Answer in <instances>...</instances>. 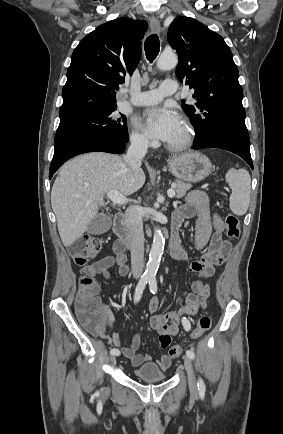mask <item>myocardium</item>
Segmentation results:
<instances>
[{
  "instance_id": "f54148a6",
  "label": "myocardium",
  "mask_w": 283,
  "mask_h": 434,
  "mask_svg": "<svg viewBox=\"0 0 283 434\" xmlns=\"http://www.w3.org/2000/svg\"><path fill=\"white\" fill-rule=\"evenodd\" d=\"M181 124L183 127L182 138L175 143H168L167 148L171 151H183L191 146L194 140V130L190 122L186 118H182Z\"/></svg>"
}]
</instances>
